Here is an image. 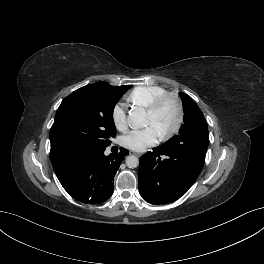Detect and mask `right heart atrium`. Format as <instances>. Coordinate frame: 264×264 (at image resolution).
<instances>
[{
    "label": "right heart atrium",
    "mask_w": 264,
    "mask_h": 264,
    "mask_svg": "<svg viewBox=\"0 0 264 264\" xmlns=\"http://www.w3.org/2000/svg\"><path fill=\"white\" fill-rule=\"evenodd\" d=\"M112 121L114 126L119 131H124L127 128L126 111L121 105H116L112 110Z\"/></svg>",
    "instance_id": "right-heart-atrium-1"
}]
</instances>
